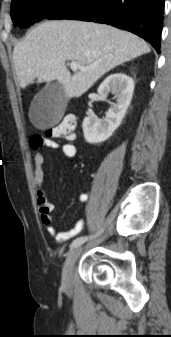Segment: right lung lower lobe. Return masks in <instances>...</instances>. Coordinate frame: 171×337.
Masks as SVG:
<instances>
[{"label":"right lung lower lobe","instance_id":"1","mask_svg":"<svg viewBox=\"0 0 171 337\" xmlns=\"http://www.w3.org/2000/svg\"><path fill=\"white\" fill-rule=\"evenodd\" d=\"M164 0H70L47 19L106 23L144 38L160 53Z\"/></svg>","mask_w":171,"mask_h":337}]
</instances>
